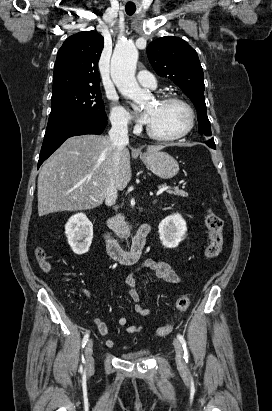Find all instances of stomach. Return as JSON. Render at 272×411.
I'll use <instances>...</instances> for the list:
<instances>
[{
    "mask_svg": "<svg viewBox=\"0 0 272 411\" xmlns=\"http://www.w3.org/2000/svg\"><path fill=\"white\" fill-rule=\"evenodd\" d=\"M140 157L147 168L160 178L170 179L179 171L177 161L166 152H147Z\"/></svg>",
    "mask_w": 272,
    "mask_h": 411,
    "instance_id": "0dacf381",
    "label": "stomach"
}]
</instances>
